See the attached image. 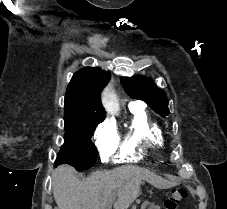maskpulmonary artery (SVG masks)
I'll list each match as a JSON object with an SVG mask.
<instances>
[{
    "label": "pulmonary artery",
    "instance_id": "pulmonary-artery-1",
    "mask_svg": "<svg viewBox=\"0 0 227 209\" xmlns=\"http://www.w3.org/2000/svg\"><path fill=\"white\" fill-rule=\"evenodd\" d=\"M133 105H147V100H133Z\"/></svg>",
    "mask_w": 227,
    "mask_h": 209
}]
</instances>
